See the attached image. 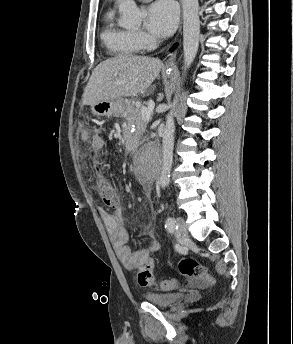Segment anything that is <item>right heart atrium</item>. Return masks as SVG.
<instances>
[{"label": "right heart atrium", "mask_w": 293, "mask_h": 344, "mask_svg": "<svg viewBox=\"0 0 293 344\" xmlns=\"http://www.w3.org/2000/svg\"><path fill=\"white\" fill-rule=\"evenodd\" d=\"M134 40L136 44L141 48H148L153 45V39L151 36L146 34L143 31H135L133 32Z\"/></svg>", "instance_id": "1"}]
</instances>
